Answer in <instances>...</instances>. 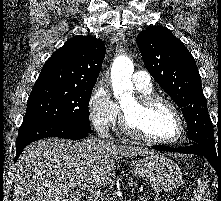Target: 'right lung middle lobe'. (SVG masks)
<instances>
[{"label":"right lung middle lobe","mask_w":221,"mask_h":201,"mask_svg":"<svg viewBox=\"0 0 221 201\" xmlns=\"http://www.w3.org/2000/svg\"><path fill=\"white\" fill-rule=\"evenodd\" d=\"M91 94L92 90L32 89L22 125L55 122L91 130L88 110Z\"/></svg>","instance_id":"dd1d6c3e"}]
</instances>
